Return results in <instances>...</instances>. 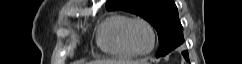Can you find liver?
Returning a JSON list of instances; mask_svg holds the SVG:
<instances>
[{"instance_id": "obj_1", "label": "liver", "mask_w": 242, "mask_h": 64, "mask_svg": "<svg viewBox=\"0 0 242 64\" xmlns=\"http://www.w3.org/2000/svg\"><path fill=\"white\" fill-rule=\"evenodd\" d=\"M90 64H137V62L134 61H123V60H108V59H104V60H96L93 61Z\"/></svg>"}]
</instances>
